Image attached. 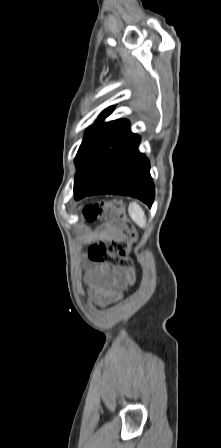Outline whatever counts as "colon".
I'll use <instances>...</instances> for the list:
<instances>
[{
	"mask_svg": "<svg viewBox=\"0 0 221 448\" xmlns=\"http://www.w3.org/2000/svg\"><path fill=\"white\" fill-rule=\"evenodd\" d=\"M106 213L116 218L112 221L113 225L122 227L130 239L134 240L137 237L135 227L125 216L120 201L90 204L84 209L83 216L88 222H94ZM130 251L129 243L114 241L109 246L103 244L91 246L88 250V258L93 264H109L125 268L133 273L135 266L129 255Z\"/></svg>",
	"mask_w": 221,
	"mask_h": 448,
	"instance_id": "colon-1",
	"label": "colon"
}]
</instances>
